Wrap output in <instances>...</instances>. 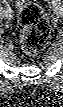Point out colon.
Segmentation results:
<instances>
[{
  "label": "colon",
  "instance_id": "colon-1",
  "mask_svg": "<svg viewBox=\"0 0 63 107\" xmlns=\"http://www.w3.org/2000/svg\"><path fill=\"white\" fill-rule=\"evenodd\" d=\"M20 45L27 55H35L46 45L49 37L48 20L41 7L33 2L19 1Z\"/></svg>",
  "mask_w": 63,
  "mask_h": 107
}]
</instances>
